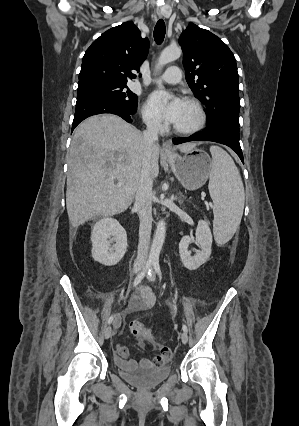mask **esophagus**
Masks as SVG:
<instances>
[{
	"mask_svg": "<svg viewBox=\"0 0 299 426\" xmlns=\"http://www.w3.org/2000/svg\"><path fill=\"white\" fill-rule=\"evenodd\" d=\"M163 15H164L163 11H162V10H159V11H158V16H159V17H163ZM162 151H163V153H164L165 155H172L173 150H172V146H171L170 141H166V142H164V143H163Z\"/></svg>",
	"mask_w": 299,
	"mask_h": 426,
	"instance_id": "1",
	"label": "esophagus"
}]
</instances>
